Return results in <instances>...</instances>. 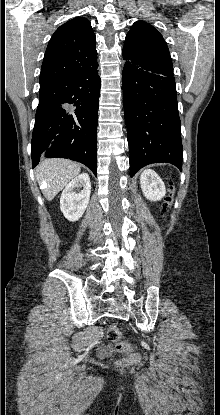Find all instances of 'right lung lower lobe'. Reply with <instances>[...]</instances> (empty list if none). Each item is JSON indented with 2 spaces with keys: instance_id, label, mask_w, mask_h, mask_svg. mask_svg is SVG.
Masks as SVG:
<instances>
[{
  "instance_id": "right-lung-lower-lobe-1",
  "label": "right lung lower lobe",
  "mask_w": 220,
  "mask_h": 415,
  "mask_svg": "<svg viewBox=\"0 0 220 415\" xmlns=\"http://www.w3.org/2000/svg\"><path fill=\"white\" fill-rule=\"evenodd\" d=\"M98 65L40 88L31 141L33 168L45 157L85 164L97 176Z\"/></svg>"
}]
</instances>
